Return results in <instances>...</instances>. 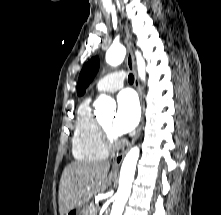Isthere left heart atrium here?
I'll list each match as a JSON object with an SVG mask.
<instances>
[{
    "label": "left heart atrium",
    "instance_id": "39dd6f15",
    "mask_svg": "<svg viewBox=\"0 0 221 215\" xmlns=\"http://www.w3.org/2000/svg\"><path fill=\"white\" fill-rule=\"evenodd\" d=\"M140 118L139 103L130 90L122 91L117 97V111L113 122L116 134H126L132 131Z\"/></svg>",
    "mask_w": 221,
    "mask_h": 215
}]
</instances>
